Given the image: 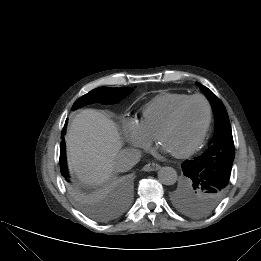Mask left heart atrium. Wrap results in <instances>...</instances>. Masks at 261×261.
<instances>
[{
	"mask_svg": "<svg viewBox=\"0 0 261 261\" xmlns=\"http://www.w3.org/2000/svg\"><path fill=\"white\" fill-rule=\"evenodd\" d=\"M168 153H173V152L170 149H168L166 146L160 145V147L158 148V154L164 155Z\"/></svg>",
	"mask_w": 261,
	"mask_h": 261,
	"instance_id": "39dd6f15",
	"label": "left heart atrium"
}]
</instances>
